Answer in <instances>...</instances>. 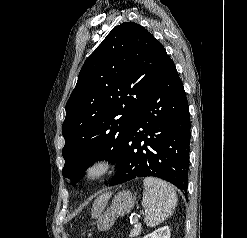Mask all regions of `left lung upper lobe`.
<instances>
[{
    "label": "left lung upper lobe",
    "instance_id": "5c2ea615",
    "mask_svg": "<svg viewBox=\"0 0 247 238\" xmlns=\"http://www.w3.org/2000/svg\"><path fill=\"white\" fill-rule=\"evenodd\" d=\"M168 57L137 23L111 30L83 64L66 104L63 177L76 183L100 159L118 167L131 126Z\"/></svg>",
    "mask_w": 247,
    "mask_h": 238
}]
</instances>
